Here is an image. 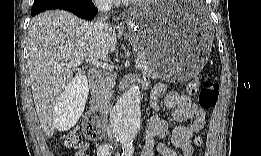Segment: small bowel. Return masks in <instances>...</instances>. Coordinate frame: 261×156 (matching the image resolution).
<instances>
[{"label": "small bowel", "instance_id": "small-bowel-1", "mask_svg": "<svg viewBox=\"0 0 261 156\" xmlns=\"http://www.w3.org/2000/svg\"><path fill=\"white\" fill-rule=\"evenodd\" d=\"M165 94L164 108L173 110L171 119L165 120L159 115H153L148 123L145 141L138 154L143 156H191L193 147L191 139L195 134L205 127L206 112L203 108L195 104L189 96L181 95L175 91L166 92V85L156 84L151 91V105L154 111L159 112L161 107L158 99ZM170 122L177 125L170 131ZM170 138L173 147L164 141L156 142L159 138L164 140ZM89 143L85 142L75 155H88Z\"/></svg>", "mask_w": 261, "mask_h": 156}]
</instances>
